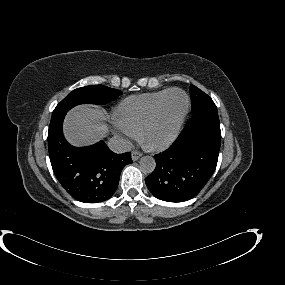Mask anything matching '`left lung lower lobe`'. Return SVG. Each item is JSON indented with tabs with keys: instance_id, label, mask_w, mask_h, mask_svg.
I'll return each mask as SVG.
<instances>
[{
	"instance_id": "0a47b994",
	"label": "left lung lower lobe",
	"mask_w": 285,
	"mask_h": 285,
	"mask_svg": "<svg viewBox=\"0 0 285 285\" xmlns=\"http://www.w3.org/2000/svg\"><path fill=\"white\" fill-rule=\"evenodd\" d=\"M220 143L216 105L193 113L175 142L155 155L156 168L145 178L149 191L167 202H183L195 197L215 171Z\"/></svg>"
}]
</instances>
